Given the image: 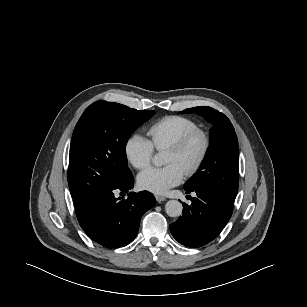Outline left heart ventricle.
Instances as JSON below:
<instances>
[{"instance_id":"obj_1","label":"left heart ventricle","mask_w":307,"mask_h":307,"mask_svg":"<svg viewBox=\"0 0 307 307\" xmlns=\"http://www.w3.org/2000/svg\"><path fill=\"white\" fill-rule=\"evenodd\" d=\"M201 149V140H193L189 146L181 153L166 151L164 156V164H176L183 172L195 160Z\"/></svg>"}]
</instances>
